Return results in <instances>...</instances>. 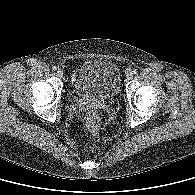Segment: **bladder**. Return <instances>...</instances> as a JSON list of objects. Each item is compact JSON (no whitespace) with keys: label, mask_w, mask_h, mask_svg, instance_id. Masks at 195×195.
I'll return each instance as SVG.
<instances>
[{"label":"bladder","mask_w":195,"mask_h":195,"mask_svg":"<svg viewBox=\"0 0 195 195\" xmlns=\"http://www.w3.org/2000/svg\"><path fill=\"white\" fill-rule=\"evenodd\" d=\"M120 91V71L107 59H91L79 68L72 92L81 98L109 100Z\"/></svg>","instance_id":"bladder-1"}]
</instances>
